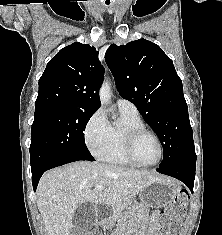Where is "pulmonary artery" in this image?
Segmentation results:
<instances>
[{
  "mask_svg": "<svg viewBox=\"0 0 222 235\" xmlns=\"http://www.w3.org/2000/svg\"><path fill=\"white\" fill-rule=\"evenodd\" d=\"M116 105H117V107L120 111L133 113V114L138 113V110H137L136 106L127 99L118 98L117 101H116Z\"/></svg>",
  "mask_w": 222,
  "mask_h": 235,
  "instance_id": "pulmonary-artery-1",
  "label": "pulmonary artery"
}]
</instances>
